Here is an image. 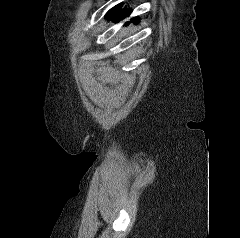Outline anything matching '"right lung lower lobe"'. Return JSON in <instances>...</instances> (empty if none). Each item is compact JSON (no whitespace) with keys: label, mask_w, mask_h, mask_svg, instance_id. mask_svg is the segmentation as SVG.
<instances>
[{"label":"right lung lower lobe","mask_w":240,"mask_h":238,"mask_svg":"<svg viewBox=\"0 0 240 238\" xmlns=\"http://www.w3.org/2000/svg\"><path fill=\"white\" fill-rule=\"evenodd\" d=\"M130 14H131V10H129V9H123V10H121V8H120L117 12L111 14V15L108 16L107 18H108V19H113L114 21H119V20H122V19L126 18V17L129 16ZM132 21H133L134 23H138V22H139V19H138V17H133V18L131 19V22H132ZM127 24H128V22H127Z\"/></svg>","instance_id":"right-lung-lower-lobe-1"}]
</instances>
